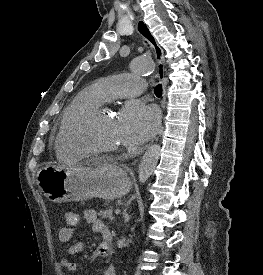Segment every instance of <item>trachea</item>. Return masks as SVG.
<instances>
[{
	"mask_svg": "<svg viewBox=\"0 0 263 275\" xmlns=\"http://www.w3.org/2000/svg\"><path fill=\"white\" fill-rule=\"evenodd\" d=\"M154 93L157 97H161L162 96V85L158 84L155 89H154Z\"/></svg>",
	"mask_w": 263,
	"mask_h": 275,
	"instance_id": "obj_1",
	"label": "trachea"
}]
</instances>
